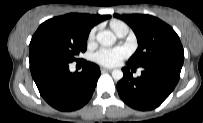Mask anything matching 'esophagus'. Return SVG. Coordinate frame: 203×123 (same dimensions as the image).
<instances>
[{"instance_id":"34e87169","label":"esophagus","mask_w":203,"mask_h":123,"mask_svg":"<svg viewBox=\"0 0 203 123\" xmlns=\"http://www.w3.org/2000/svg\"><path fill=\"white\" fill-rule=\"evenodd\" d=\"M112 69L110 68H101V72H110Z\"/></svg>"}]
</instances>
